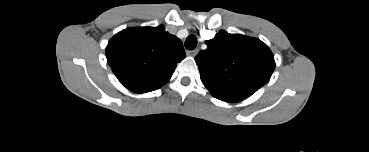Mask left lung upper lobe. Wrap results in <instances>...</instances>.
<instances>
[{
	"instance_id": "left-lung-upper-lobe-1",
	"label": "left lung upper lobe",
	"mask_w": 369,
	"mask_h": 152,
	"mask_svg": "<svg viewBox=\"0 0 369 152\" xmlns=\"http://www.w3.org/2000/svg\"><path fill=\"white\" fill-rule=\"evenodd\" d=\"M195 58L200 78L215 98L244 100L266 84L274 56L259 39L220 31Z\"/></svg>"
}]
</instances>
